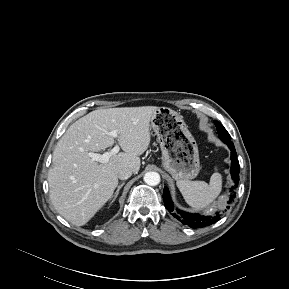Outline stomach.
Returning a JSON list of instances; mask_svg holds the SVG:
<instances>
[{
	"label": "stomach",
	"mask_w": 289,
	"mask_h": 289,
	"mask_svg": "<svg viewBox=\"0 0 289 289\" xmlns=\"http://www.w3.org/2000/svg\"><path fill=\"white\" fill-rule=\"evenodd\" d=\"M162 151V165L175 180H190L200 170L197 143L180 113L158 107L150 121Z\"/></svg>",
	"instance_id": "1"
}]
</instances>
